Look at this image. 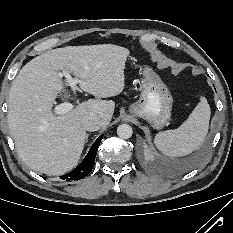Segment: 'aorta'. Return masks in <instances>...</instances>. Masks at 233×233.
Wrapping results in <instances>:
<instances>
[{"label":"aorta","instance_id":"762f6f07","mask_svg":"<svg viewBox=\"0 0 233 233\" xmlns=\"http://www.w3.org/2000/svg\"><path fill=\"white\" fill-rule=\"evenodd\" d=\"M132 127L128 124H121L117 128V134L122 139H128L132 136Z\"/></svg>","mask_w":233,"mask_h":233}]
</instances>
